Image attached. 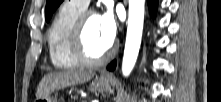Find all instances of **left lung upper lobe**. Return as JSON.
Segmentation results:
<instances>
[{
    "instance_id": "obj_1",
    "label": "left lung upper lobe",
    "mask_w": 221,
    "mask_h": 102,
    "mask_svg": "<svg viewBox=\"0 0 221 102\" xmlns=\"http://www.w3.org/2000/svg\"><path fill=\"white\" fill-rule=\"evenodd\" d=\"M63 0H47L46 9H45V18L46 21H49L53 12L58 8Z\"/></svg>"
}]
</instances>
